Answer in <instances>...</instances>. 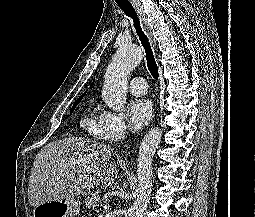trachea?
<instances>
[{"label": "trachea", "mask_w": 255, "mask_h": 217, "mask_svg": "<svg viewBox=\"0 0 255 217\" xmlns=\"http://www.w3.org/2000/svg\"><path fill=\"white\" fill-rule=\"evenodd\" d=\"M118 6L123 10V12L130 18L133 19L134 27L136 29V33L139 36V39L145 49L146 53V59H147V67L153 76L154 79H158L159 77V72H158V67L153 55L152 48L149 43V39L147 36L144 34L142 31L141 25H140V20L137 16L136 11L132 7L130 3H124V4H118Z\"/></svg>", "instance_id": "1"}]
</instances>
